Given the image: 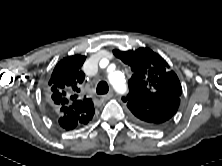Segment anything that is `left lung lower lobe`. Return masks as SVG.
I'll use <instances>...</instances> for the list:
<instances>
[{
    "label": "left lung lower lobe",
    "instance_id": "0a47b994",
    "mask_svg": "<svg viewBox=\"0 0 222 166\" xmlns=\"http://www.w3.org/2000/svg\"><path fill=\"white\" fill-rule=\"evenodd\" d=\"M180 96H159L150 101L144 97L131 96L127 106L135 123L144 127H157L168 121L177 111Z\"/></svg>",
    "mask_w": 222,
    "mask_h": 166
}]
</instances>
